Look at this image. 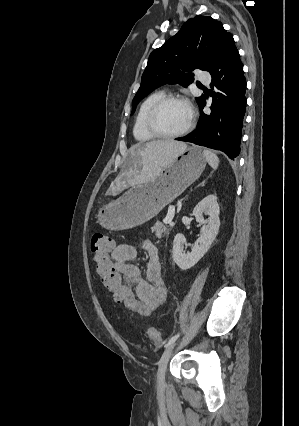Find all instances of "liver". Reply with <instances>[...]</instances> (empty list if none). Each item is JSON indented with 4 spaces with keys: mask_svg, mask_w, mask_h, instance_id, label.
Returning <instances> with one entry per match:
<instances>
[{
    "mask_svg": "<svg viewBox=\"0 0 299 426\" xmlns=\"http://www.w3.org/2000/svg\"><path fill=\"white\" fill-rule=\"evenodd\" d=\"M186 148L185 143L174 140H155L132 146L128 163L136 173L134 181L144 183L157 178Z\"/></svg>",
    "mask_w": 299,
    "mask_h": 426,
    "instance_id": "6515ba94",
    "label": "liver"
}]
</instances>
